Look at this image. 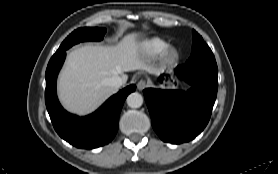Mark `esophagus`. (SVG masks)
I'll return each mask as SVG.
<instances>
[{
	"label": "esophagus",
	"instance_id": "obj_1",
	"mask_svg": "<svg viewBox=\"0 0 278 174\" xmlns=\"http://www.w3.org/2000/svg\"><path fill=\"white\" fill-rule=\"evenodd\" d=\"M146 87H147V83H146L145 80H140L137 83V89L140 90V91L144 90Z\"/></svg>",
	"mask_w": 278,
	"mask_h": 174
}]
</instances>
